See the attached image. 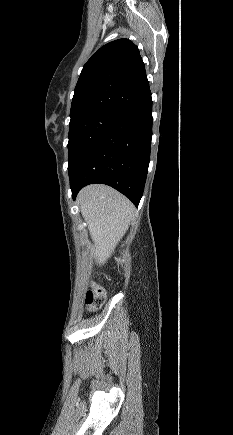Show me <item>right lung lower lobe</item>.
I'll use <instances>...</instances> for the list:
<instances>
[{"mask_svg": "<svg viewBox=\"0 0 233 435\" xmlns=\"http://www.w3.org/2000/svg\"><path fill=\"white\" fill-rule=\"evenodd\" d=\"M152 120L148 91L99 138L69 174L73 198L82 187L103 183L138 206L150 161Z\"/></svg>", "mask_w": 233, "mask_h": 435, "instance_id": "98d812e1", "label": "right lung lower lobe"}]
</instances>
